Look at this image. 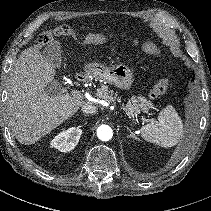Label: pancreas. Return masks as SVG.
I'll list each match as a JSON object with an SVG mask.
<instances>
[{
  "mask_svg": "<svg viewBox=\"0 0 211 211\" xmlns=\"http://www.w3.org/2000/svg\"><path fill=\"white\" fill-rule=\"evenodd\" d=\"M96 95L108 102L115 103L116 100L119 101L117 94H115L113 90H110L107 85H101V87L97 90ZM150 107H152V103L150 101H147V99L142 96H138L132 97L125 106L122 105L121 109H123L129 117H134L139 114L141 110L147 111Z\"/></svg>",
  "mask_w": 211,
  "mask_h": 211,
  "instance_id": "obj_1",
  "label": "pancreas"
}]
</instances>
